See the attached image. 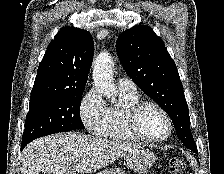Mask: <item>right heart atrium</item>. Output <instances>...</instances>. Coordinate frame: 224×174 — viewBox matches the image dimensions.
Returning <instances> with one entry per match:
<instances>
[{
	"instance_id": "right-heart-atrium-1",
	"label": "right heart atrium",
	"mask_w": 224,
	"mask_h": 174,
	"mask_svg": "<svg viewBox=\"0 0 224 174\" xmlns=\"http://www.w3.org/2000/svg\"><path fill=\"white\" fill-rule=\"evenodd\" d=\"M79 114L85 128L92 134L99 135L106 119V105L100 93L91 88L83 96Z\"/></svg>"
}]
</instances>
